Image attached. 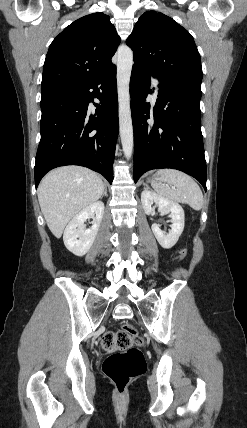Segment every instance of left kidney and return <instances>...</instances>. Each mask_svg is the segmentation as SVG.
<instances>
[{"mask_svg": "<svg viewBox=\"0 0 247 428\" xmlns=\"http://www.w3.org/2000/svg\"><path fill=\"white\" fill-rule=\"evenodd\" d=\"M141 202L147 215L155 213V208L152 207L154 203L161 214L170 213L172 225L169 233L162 231L158 224H153L151 227L159 244L165 249H170L176 244L184 229L183 208L178 203L147 189L141 193Z\"/></svg>", "mask_w": 247, "mask_h": 428, "instance_id": "obj_1", "label": "left kidney"}]
</instances>
